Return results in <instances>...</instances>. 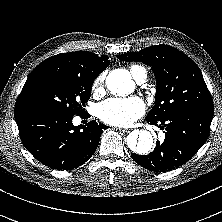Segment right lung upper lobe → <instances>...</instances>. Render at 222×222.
Here are the masks:
<instances>
[{
    "mask_svg": "<svg viewBox=\"0 0 222 222\" xmlns=\"http://www.w3.org/2000/svg\"><path fill=\"white\" fill-rule=\"evenodd\" d=\"M109 63L108 56L99 57L88 51L61 53L40 63L28 76L22 91L53 75H77L95 79ZM17 108L20 106H15V109Z\"/></svg>",
    "mask_w": 222,
    "mask_h": 222,
    "instance_id": "cb5924a9",
    "label": "right lung upper lobe"
}]
</instances>
